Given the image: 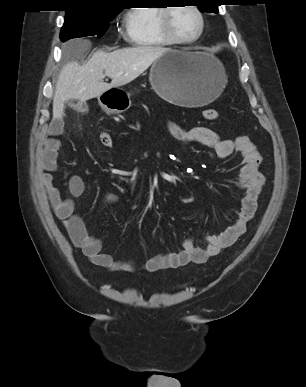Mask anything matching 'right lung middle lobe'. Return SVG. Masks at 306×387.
<instances>
[{"label": "right lung middle lobe", "mask_w": 306, "mask_h": 387, "mask_svg": "<svg viewBox=\"0 0 306 387\" xmlns=\"http://www.w3.org/2000/svg\"><path fill=\"white\" fill-rule=\"evenodd\" d=\"M120 11H110L95 15H66L60 33V39L65 42L75 37L97 35L101 37L109 28V22Z\"/></svg>", "instance_id": "obj_1"}]
</instances>
